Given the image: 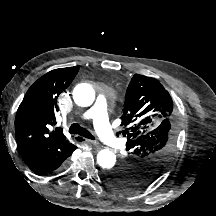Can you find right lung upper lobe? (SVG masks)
I'll return each instance as SVG.
<instances>
[{"label": "right lung upper lobe", "mask_w": 216, "mask_h": 216, "mask_svg": "<svg viewBox=\"0 0 216 216\" xmlns=\"http://www.w3.org/2000/svg\"><path fill=\"white\" fill-rule=\"evenodd\" d=\"M79 66L52 70L39 78L27 91L15 119L16 142L27 166L35 171L66 156L77 147L56 124L57 98L75 78Z\"/></svg>", "instance_id": "cb5924a9"}]
</instances>
